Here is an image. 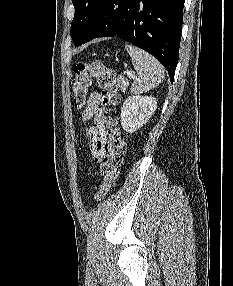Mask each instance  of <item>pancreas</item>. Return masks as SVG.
<instances>
[{
    "mask_svg": "<svg viewBox=\"0 0 233 286\" xmlns=\"http://www.w3.org/2000/svg\"><path fill=\"white\" fill-rule=\"evenodd\" d=\"M118 88L122 91H125L129 85L128 80L124 79V77L120 76L117 80Z\"/></svg>",
    "mask_w": 233,
    "mask_h": 286,
    "instance_id": "pancreas-1",
    "label": "pancreas"
}]
</instances>
